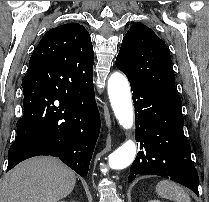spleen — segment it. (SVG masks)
I'll return each instance as SVG.
<instances>
[{"label": "spleen", "instance_id": "spleen-1", "mask_svg": "<svg viewBox=\"0 0 209 202\" xmlns=\"http://www.w3.org/2000/svg\"><path fill=\"white\" fill-rule=\"evenodd\" d=\"M156 193L165 198L176 202H191L189 194L178 184L162 180L156 185Z\"/></svg>", "mask_w": 209, "mask_h": 202}]
</instances>
